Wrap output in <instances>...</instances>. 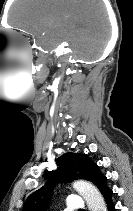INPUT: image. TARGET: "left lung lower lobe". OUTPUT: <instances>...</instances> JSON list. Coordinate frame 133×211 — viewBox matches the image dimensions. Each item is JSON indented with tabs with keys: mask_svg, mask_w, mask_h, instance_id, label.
Segmentation results:
<instances>
[{
	"mask_svg": "<svg viewBox=\"0 0 133 211\" xmlns=\"http://www.w3.org/2000/svg\"><path fill=\"white\" fill-rule=\"evenodd\" d=\"M101 193L106 201L108 211H115V205L112 201L113 191L107 186Z\"/></svg>",
	"mask_w": 133,
	"mask_h": 211,
	"instance_id": "0a47b994",
	"label": "left lung lower lobe"
}]
</instances>
